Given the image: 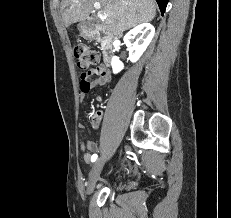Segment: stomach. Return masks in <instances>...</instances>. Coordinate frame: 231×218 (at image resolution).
Segmentation results:
<instances>
[{
  "label": "stomach",
  "instance_id": "stomach-1",
  "mask_svg": "<svg viewBox=\"0 0 231 218\" xmlns=\"http://www.w3.org/2000/svg\"><path fill=\"white\" fill-rule=\"evenodd\" d=\"M79 28H80L81 33L84 34V26H83V25H80Z\"/></svg>",
  "mask_w": 231,
  "mask_h": 218
}]
</instances>
